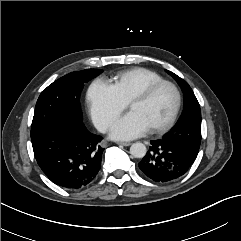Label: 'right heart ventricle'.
Here are the masks:
<instances>
[{
    "instance_id": "right-heart-ventricle-1",
    "label": "right heart ventricle",
    "mask_w": 241,
    "mask_h": 241,
    "mask_svg": "<svg viewBox=\"0 0 241 241\" xmlns=\"http://www.w3.org/2000/svg\"><path fill=\"white\" fill-rule=\"evenodd\" d=\"M164 80L158 73L141 67L119 72L112 85L119 96L128 103L130 99L148 85Z\"/></svg>"
}]
</instances>
